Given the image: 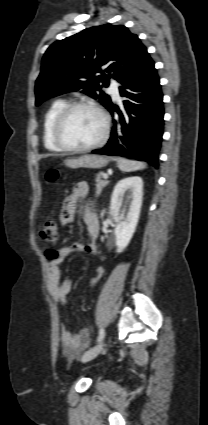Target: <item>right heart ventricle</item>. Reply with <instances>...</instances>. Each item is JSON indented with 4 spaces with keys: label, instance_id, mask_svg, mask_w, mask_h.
Masks as SVG:
<instances>
[{
    "label": "right heart ventricle",
    "instance_id": "1",
    "mask_svg": "<svg viewBox=\"0 0 208 425\" xmlns=\"http://www.w3.org/2000/svg\"><path fill=\"white\" fill-rule=\"evenodd\" d=\"M66 101L63 99H57L55 100L48 108L44 115L43 119V129H42V135H43V142L46 149L50 151L60 152L63 151L61 148H59L52 137L53 132V125L54 122L60 113V111L66 106Z\"/></svg>",
    "mask_w": 208,
    "mask_h": 425
}]
</instances>
